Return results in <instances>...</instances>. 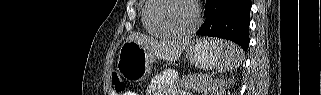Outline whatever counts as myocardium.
<instances>
[{"label":"myocardium","instance_id":"f54148a6","mask_svg":"<svg viewBox=\"0 0 321 95\" xmlns=\"http://www.w3.org/2000/svg\"><path fill=\"white\" fill-rule=\"evenodd\" d=\"M151 1V5L148 9V20L150 22V24L160 33L167 35V36H175V37H184V36H188L191 35L192 33H194L197 28L200 25L201 22V16H200V10H199V6L197 4L196 1L194 0H182V1H186L187 3H189L193 9V13H194V21L192 23V25L183 31H179V30H174L172 28H169L167 26H164L162 24H160L155 18H154V11L156 10V8L158 7V5L161 2H168L171 0H150Z\"/></svg>","mask_w":321,"mask_h":95}]
</instances>
